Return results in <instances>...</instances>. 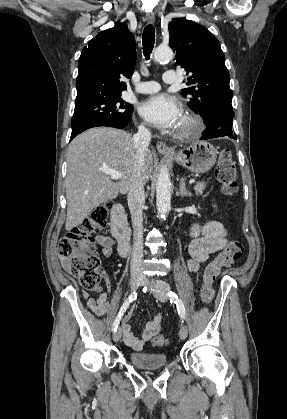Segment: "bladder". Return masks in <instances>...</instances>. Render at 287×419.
Wrapping results in <instances>:
<instances>
[{
  "mask_svg": "<svg viewBox=\"0 0 287 419\" xmlns=\"http://www.w3.org/2000/svg\"><path fill=\"white\" fill-rule=\"evenodd\" d=\"M129 361L141 369H159L165 366L167 358L162 354L133 352L129 355Z\"/></svg>",
  "mask_w": 287,
  "mask_h": 419,
  "instance_id": "1",
  "label": "bladder"
}]
</instances>
